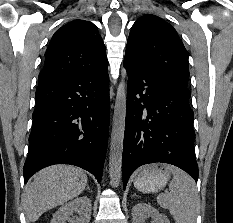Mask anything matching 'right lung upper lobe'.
<instances>
[{
  "label": "right lung upper lobe",
  "instance_id": "right-lung-upper-lobe-1",
  "mask_svg": "<svg viewBox=\"0 0 233 223\" xmlns=\"http://www.w3.org/2000/svg\"><path fill=\"white\" fill-rule=\"evenodd\" d=\"M105 45L90 21L73 20L53 35L38 84L52 83L107 67Z\"/></svg>",
  "mask_w": 233,
  "mask_h": 223
}]
</instances>
